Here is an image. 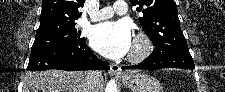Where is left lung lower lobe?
I'll return each instance as SVG.
<instances>
[{
	"mask_svg": "<svg viewBox=\"0 0 225 92\" xmlns=\"http://www.w3.org/2000/svg\"><path fill=\"white\" fill-rule=\"evenodd\" d=\"M161 68H181L193 70L195 66L189 51H175L168 53L153 52L138 65L122 67V69L146 70H157Z\"/></svg>",
	"mask_w": 225,
	"mask_h": 92,
	"instance_id": "0a47b994",
	"label": "left lung lower lobe"
}]
</instances>
